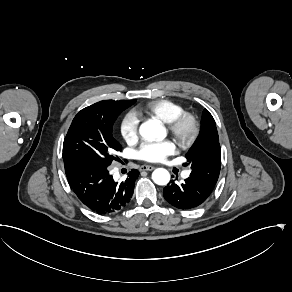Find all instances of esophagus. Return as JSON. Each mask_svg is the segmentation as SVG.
Masks as SVG:
<instances>
[{"mask_svg":"<svg viewBox=\"0 0 292 292\" xmlns=\"http://www.w3.org/2000/svg\"><path fill=\"white\" fill-rule=\"evenodd\" d=\"M154 169H155V167L150 166V165H142V166L139 168L140 171H152V170H154Z\"/></svg>","mask_w":292,"mask_h":292,"instance_id":"obj_1","label":"esophagus"}]
</instances>
